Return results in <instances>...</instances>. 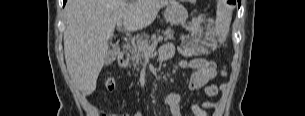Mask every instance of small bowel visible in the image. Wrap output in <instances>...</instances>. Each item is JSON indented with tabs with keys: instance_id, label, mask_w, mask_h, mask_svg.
Here are the masks:
<instances>
[{
	"instance_id": "c3829d8e",
	"label": "small bowel",
	"mask_w": 305,
	"mask_h": 116,
	"mask_svg": "<svg viewBox=\"0 0 305 116\" xmlns=\"http://www.w3.org/2000/svg\"><path fill=\"white\" fill-rule=\"evenodd\" d=\"M218 42L216 40H211L207 44V48L210 50L216 49ZM175 53V48L172 44H165L160 50V59L162 61L169 60L173 57ZM179 66L183 69H189L192 71L189 88L190 90L196 91L203 89L207 97H215L219 88L216 84L210 83L212 79L215 78L217 74V65L212 60H207L204 58H194L192 60H181ZM182 98L177 93H170L165 98V104L170 110L171 116H182L181 111ZM216 102L205 101L201 105L193 104L191 106V111L194 116H208L206 110L213 109L216 107ZM135 116H142L141 113Z\"/></svg>"
}]
</instances>
